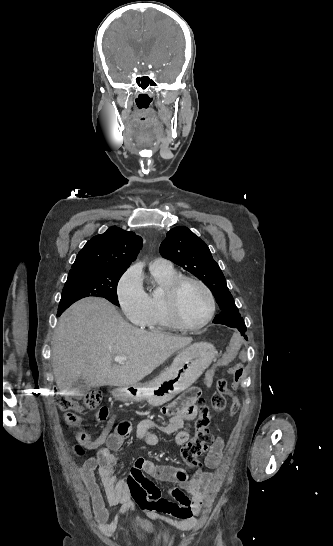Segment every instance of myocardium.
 I'll return each mask as SVG.
<instances>
[{
    "label": "myocardium",
    "mask_w": 333,
    "mask_h": 546,
    "mask_svg": "<svg viewBox=\"0 0 333 546\" xmlns=\"http://www.w3.org/2000/svg\"><path fill=\"white\" fill-rule=\"evenodd\" d=\"M186 283L197 284L205 292L209 301V309L205 318L200 323L195 325L186 323L182 319L178 309L179 292L182 286ZM163 306L169 321L177 329H180L183 331H197L207 326L213 319L216 312V299L212 290L201 279L192 277V276H180L166 290L163 296Z\"/></svg>",
    "instance_id": "myocardium-1"
}]
</instances>
